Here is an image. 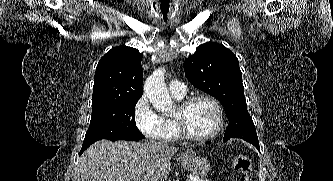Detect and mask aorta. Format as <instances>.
Masks as SVG:
<instances>
[{
    "label": "aorta",
    "mask_w": 333,
    "mask_h": 181,
    "mask_svg": "<svg viewBox=\"0 0 333 181\" xmlns=\"http://www.w3.org/2000/svg\"><path fill=\"white\" fill-rule=\"evenodd\" d=\"M144 93L152 105L162 113L170 112L174 103L165 84V68L156 69L144 83Z\"/></svg>",
    "instance_id": "1"
}]
</instances>
